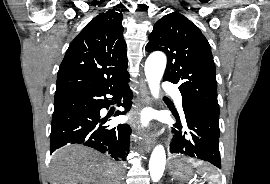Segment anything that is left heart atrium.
<instances>
[{"label":"left heart atrium","instance_id":"1","mask_svg":"<svg viewBox=\"0 0 270 184\" xmlns=\"http://www.w3.org/2000/svg\"><path fill=\"white\" fill-rule=\"evenodd\" d=\"M138 118H139V122H140L141 125L147 126L149 124L151 116H150L149 112L142 111L139 114Z\"/></svg>","mask_w":270,"mask_h":184}]
</instances>
